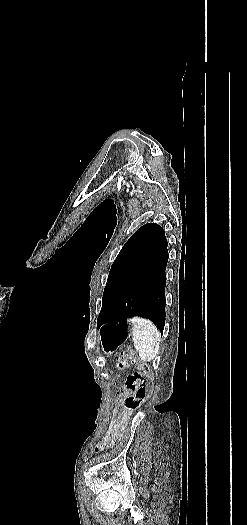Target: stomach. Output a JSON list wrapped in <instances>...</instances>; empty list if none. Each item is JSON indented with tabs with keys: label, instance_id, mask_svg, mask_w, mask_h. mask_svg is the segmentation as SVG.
<instances>
[{
	"label": "stomach",
	"instance_id": "0dacf381",
	"mask_svg": "<svg viewBox=\"0 0 247 525\" xmlns=\"http://www.w3.org/2000/svg\"><path fill=\"white\" fill-rule=\"evenodd\" d=\"M133 324L130 320L107 324L103 326L99 333V341L103 353L114 352L132 334Z\"/></svg>",
	"mask_w": 247,
	"mask_h": 525
}]
</instances>
